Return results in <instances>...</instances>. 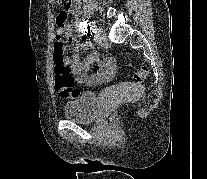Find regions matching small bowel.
Returning a JSON list of instances; mask_svg holds the SVG:
<instances>
[{
    "mask_svg": "<svg viewBox=\"0 0 207 179\" xmlns=\"http://www.w3.org/2000/svg\"><path fill=\"white\" fill-rule=\"evenodd\" d=\"M82 0H68L65 7L60 11L56 18L58 36H66L72 40V26L67 23L69 16H77L81 7ZM78 27H83V23L77 22ZM81 48L93 50L84 59H80L78 51ZM76 51L66 56V62L71 68L76 81L88 88H96L103 83L110 81L115 74V62L109 55H100L95 51L92 43L75 44ZM90 68L93 72L89 74Z\"/></svg>",
    "mask_w": 207,
    "mask_h": 179,
    "instance_id": "obj_1",
    "label": "small bowel"
}]
</instances>
